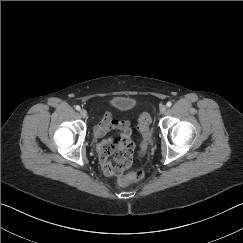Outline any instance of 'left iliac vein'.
I'll list each match as a JSON object with an SVG mask.
<instances>
[{"mask_svg":"<svg viewBox=\"0 0 243 243\" xmlns=\"http://www.w3.org/2000/svg\"><path fill=\"white\" fill-rule=\"evenodd\" d=\"M159 110H160L161 114H164L167 110V107L165 105H162V106H160Z\"/></svg>","mask_w":243,"mask_h":243,"instance_id":"obj_1","label":"left iliac vein"}]
</instances>
